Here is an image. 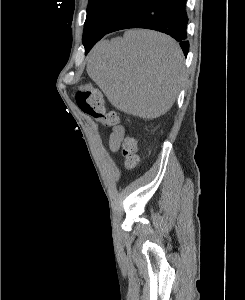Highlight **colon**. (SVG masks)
Masks as SVG:
<instances>
[{
	"instance_id": "obj_1",
	"label": "colon",
	"mask_w": 245,
	"mask_h": 300,
	"mask_svg": "<svg viewBox=\"0 0 245 300\" xmlns=\"http://www.w3.org/2000/svg\"><path fill=\"white\" fill-rule=\"evenodd\" d=\"M76 103L85 114L101 120L107 126H116L120 122L119 116L115 111L106 110L102 93L92 84H84L78 89ZM122 156L125 167L128 170H132L137 166L139 157L135 137L127 135L123 139Z\"/></svg>"
}]
</instances>
